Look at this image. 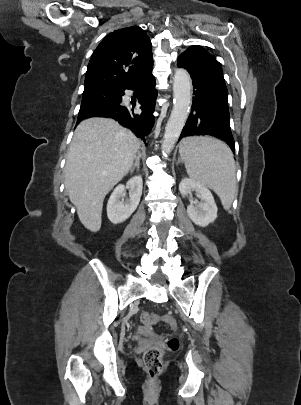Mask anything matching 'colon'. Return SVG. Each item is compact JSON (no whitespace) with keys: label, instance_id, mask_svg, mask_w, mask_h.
I'll return each instance as SVG.
<instances>
[{"label":"colon","instance_id":"1","mask_svg":"<svg viewBox=\"0 0 301 405\" xmlns=\"http://www.w3.org/2000/svg\"><path fill=\"white\" fill-rule=\"evenodd\" d=\"M161 317L157 314L154 313H143L141 315V322L145 326H151L156 324ZM168 322L174 326L175 321L171 318H167ZM180 342L177 337H171L167 341V350L169 351H177L179 349ZM164 349L158 346H154L149 348L148 350L145 351L143 355V365L148 372V375L151 380H155L158 375L163 370V357H164Z\"/></svg>","mask_w":301,"mask_h":405}]
</instances>
